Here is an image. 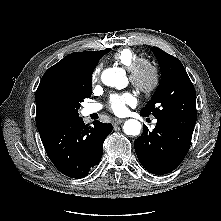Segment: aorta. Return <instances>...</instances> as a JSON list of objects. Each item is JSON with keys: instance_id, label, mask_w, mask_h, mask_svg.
I'll return each mask as SVG.
<instances>
[{"instance_id": "obj_1", "label": "aorta", "mask_w": 221, "mask_h": 221, "mask_svg": "<svg viewBox=\"0 0 221 221\" xmlns=\"http://www.w3.org/2000/svg\"><path fill=\"white\" fill-rule=\"evenodd\" d=\"M101 80L106 86L122 89L127 84V78L123 70L113 67L105 69L101 74ZM141 123L136 119H128L123 125V132L136 136L141 131Z\"/></svg>"}]
</instances>
